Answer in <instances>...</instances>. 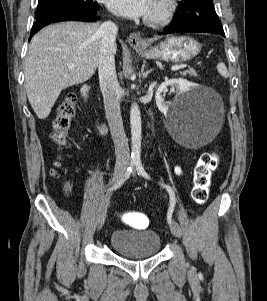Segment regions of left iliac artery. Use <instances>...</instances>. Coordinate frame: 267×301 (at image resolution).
I'll return each instance as SVG.
<instances>
[{
	"label": "left iliac artery",
	"mask_w": 267,
	"mask_h": 301,
	"mask_svg": "<svg viewBox=\"0 0 267 301\" xmlns=\"http://www.w3.org/2000/svg\"><path fill=\"white\" fill-rule=\"evenodd\" d=\"M136 170L139 175H141L147 179H151L150 176L148 175V173H146V171L144 170V167H143L141 161H136ZM160 185L163 188H166V190L168 191L169 196H170V207H169V210L167 213V220H168V223L170 224L172 222V213H173V210L175 207V194H174L173 189L170 186H168L164 183H161Z\"/></svg>",
	"instance_id": "obj_1"
}]
</instances>
